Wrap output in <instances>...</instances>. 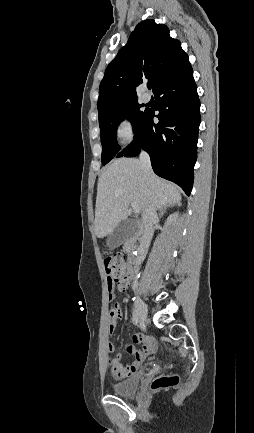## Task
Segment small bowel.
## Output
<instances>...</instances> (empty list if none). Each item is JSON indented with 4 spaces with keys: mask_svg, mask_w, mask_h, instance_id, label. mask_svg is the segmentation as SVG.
I'll use <instances>...</instances> for the list:
<instances>
[{
    "mask_svg": "<svg viewBox=\"0 0 254 433\" xmlns=\"http://www.w3.org/2000/svg\"><path fill=\"white\" fill-rule=\"evenodd\" d=\"M129 283L119 284L117 288L119 291L124 292L128 289ZM108 297L111 302L114 300V286L110 289L108 287ZM121 319V308L119 304L114 303L110 312L108 330L109 333H114L118 322ZM132 343L126 345L127 352L133 356V361L129 364H124L121 361V354L114 353L115 345L111 342L107 344V350L109 352L107 363L110 367L112 376L115 379L121 380L131 377L136 374L145 358L152 352L153 347L151 341L144 335L133 332L131 334ZM141 345L138 349L137 346Z\"/></svg>",
    "mask_w": 254,
    "mask_h": 433,
    "instance_id": "1",
    "label": "small bowel"
}]
</instances>
